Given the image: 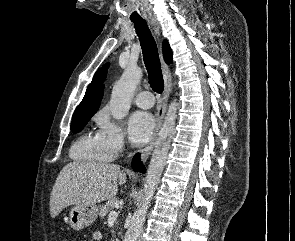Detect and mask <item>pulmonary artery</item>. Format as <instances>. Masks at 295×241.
Masks as SVG:
<instances>
[{"label": "pulmonary artery", "mask_w": 295, "mask_h": 241, "mask_svg": "<svg viewBox=\"0 0 295 241\" xmlns=\"http://www.w3.org/2000/svg\"><path fill=\"white\" fill-rule=\"evenodd\" d=\"M154 102H155L154 96L149 91L140 92L135 97L136 105L140 108H143V109L151 108L154 105Z\"/></svg>", "instance_id": "obj_1"}]
</instances>
